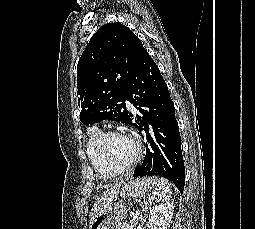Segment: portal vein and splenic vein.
<instances>
[{
  "label": "portal vein and splenic vein",
  "mask_w": 255,
  "mask_h": 229,
  "mask_svg": "<svg viewBox=\"0 0 255 229\" xmlns=\"http://www.w3.org/2000/svg\"><path fill=\"white\" fill-rule=\"evenodd\" d=\"M137 214H139V212H136V216H135V217H137ZM133 220H134V219H133ZM133 220H132V221H133ZM132 221H130V222H132Z\"/></svg>",
  "instance_id": "1"
}]
</instances>
